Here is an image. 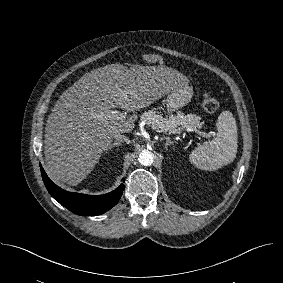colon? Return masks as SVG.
Listing matches in <instances>:
<instances>
[{"instance_id": "colon-1", "label": "colon", "mask_w": 283, "mask_h": 283, "mask_svg": "<svg viewBox=\"0 0 283 283\" xmlns=\"http://www.w3.org/2000/svg\"><path fill=\"white\" fill-rule=\"evenodd\" d=\"M143 60L147 63H158L162 60V57L158 54L146 53L143 55ZM202 106L208 113H215L219 109L218 101L207 92L203 94Z\"/></svg>"}]
</instances>
